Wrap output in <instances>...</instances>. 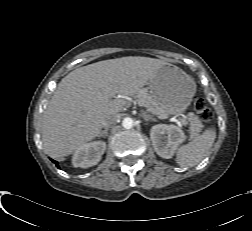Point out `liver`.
I'll return each mask as SVG.
<instances>
[{
  "mask_svg": "<svg viewBox=\"0 0 252 231\" xmlns=\"http://www.w3.org/2000/svg\"><path fill=\"white\" fill-rule=\"evenodd\" d=\"M163 60L128 56L73 70L58 84L43 114L42 141L46 153L62 160L98 137L103 122L126 105L166 65Z\"/></svg>",
  "mask_w": 252,
  "mask_h": 231,
  "instance_id": "obj_1",
  "label": "liver"
}]
</instances>
